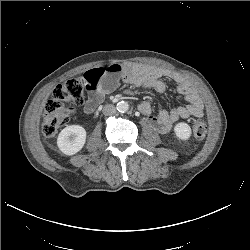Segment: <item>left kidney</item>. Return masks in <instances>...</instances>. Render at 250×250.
I'll return each mask as SVG.
<instances>
[{"instance_id": "1", "label": "left kidney", "mask_w": 250, "mask_h": 250, "mask_svg": "<svg viewBox=\"0 0 250 250\" xmlns=\"http://www.w3.org/2000/svg\"><path fill=\"white\" fill-rule=\"evenodd\" d=\"M175 135L180 140H188L191 136V128L185 122L177 123L174 127Z\"/></svg>"}]
</instances>
